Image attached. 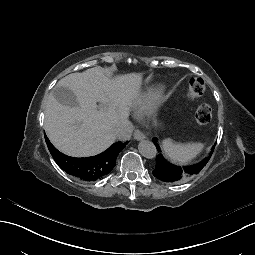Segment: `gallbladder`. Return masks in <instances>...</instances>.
<instances>
[{"mask_svg":"<svg viewBox=\"0 0 255 255\" xmlns=\"http://www.w3.org/2000/svg\"><path fill=\"white\" fill-rule=\"evenodd\" d=\"M53 94L58 102L63 105L78 107V103L75 95L68 89L65 88H56L53 90Z\"/></svg>","mask_w":255,"mask_h":255,"instance_id":"1","label":"gallbladder"}]
</instances>
